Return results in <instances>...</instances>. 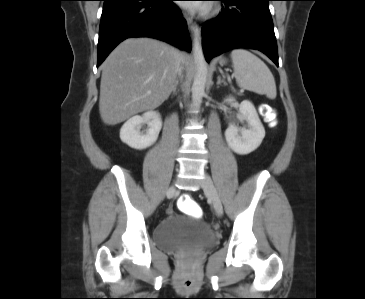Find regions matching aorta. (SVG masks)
<instances>
[{
	"label": "aorta",
	"instance_id": "762f6f07",
	"mask_svg": "<svg viewBox=\"0 0 365 299\" xmlns=\"http://www.w3.org/2000/svg\"><path fill=\"white\" fill-rule=\"evenodd\" d=\"M196 37L194 38L193 55L196 66V73L192 85V99L195 105L201 103L205 92V85L208 76L207 63L204 57L201 46V37L198 31L195 30Z\"/></svg>",
	"mask_w": 365,
	"mask_h": 299
}]
</instances>
